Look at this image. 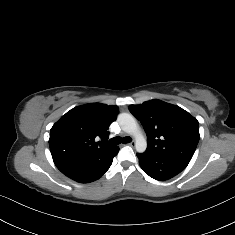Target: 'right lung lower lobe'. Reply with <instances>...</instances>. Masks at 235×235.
Returning a JSON list of instances; mask_svg holds the SVG:
<instances>
[{
  "mask_svg": "<svg viewBox=\"0 0 235 235\" xmlns=\"http://www.w3.org/2000/svg\"><path fill=\"white\" fill-rule=\"evenodd\" d=\"M119 147L113 152L102 156L88 157H53L57 168L68 178L79 183H90L98 180L109 169L113 157L117 155Z\"/></svg>",
  "mask_w": 235,
  "mask_h": 235,
  "instance_id": "obj_1",
  "label": "right lung lower lobe"
}]
</instances>
